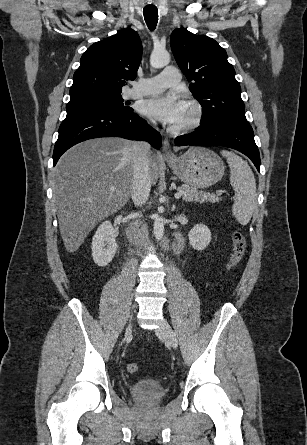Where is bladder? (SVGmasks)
<instances>
[{
    "label": "bladder",
    "mask_w": 307,
    "mask_h": 445,
    "mask_svg": "<svg viewBox=\"0 0 307 445\" xmlns=\"http://www.w3.org/2000/svg\"><path fill=\"white\" fill-rule=\"evenodd\" d=\"M132 397L139 401L153 402L165 395L164 385L155 379H141L129 388Z\"/></svg>",
    "instance_id": "bladder-1"
}]
</instances>
